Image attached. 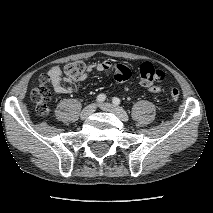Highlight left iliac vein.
Instances as JSON below:
<instances>
[{"label":"left iliac vein","instance_id":"4c4485c4","mask_svg":"<svg viewBox=\"0 0 213 213\" xmlns=\"http://www.w3.org/2000/svg\"><path fill=\"white\" fill-rule=\"evenodd\" d=\"M100 108L107 112H112L117 115L122 121L128 120L127 113L119 106L110 104V103H103L100 105Z\"/></svg>","mask_w":213,"mask_h":213}]
</instances>
